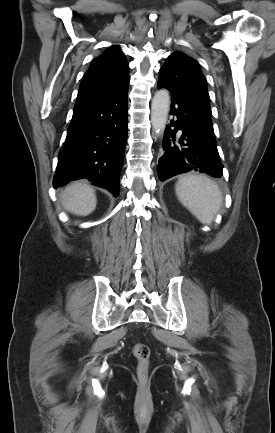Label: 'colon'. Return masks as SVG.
I'll return each instance as SVG.
<instances>
[{
	"label": "colon",
	"instance_id": "5ec220e1",
	"mask_svg": "<svg viewBox=\"0 0 275 433\" xmlns=\"http://www.w3.org/2000/svg\"><path fill=\"white\" fill-rule=\"evenodd\" d=\"M136 359V375L141 382H145L149 373L150 349L146 344L136 343L132 347Z\"/></svg>",
	"mask_w": 275,
	"mask_h": 433
}]
</instances>
